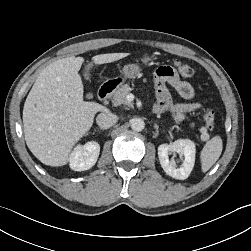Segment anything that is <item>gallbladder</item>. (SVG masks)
<instances>
[{
    "label": "gallbladder",
    "mask_w": 251,
    "mask_h": 251,
    "mask_svg": "<svg viewBox=\"0 0 251 251\" xmlns=\"http://www.w3.org/2000/svg\"><path fill=\"white\" fill-rule=\"evenodd\" d=\"M92 68L91 64H87L85 67H84V70H83V76L86 80H90V69ZM88 98H92V94H89L88 95Z\"/></svg>",
    "instance_id": "gallbladder-1"
}]
</instances>
